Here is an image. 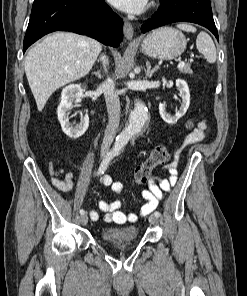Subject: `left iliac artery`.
Returning <instances> with one entry per match:
<instances>
[{"mask_svg":"<svg viewBox=\"0 0 247 296\" xmlns=\"http://www.w3.org/2000/svg\"><path fill=\"white\" fill-rule=\"evenodd\" d=\"M154 215L157 216V217H160L161 216L160 212H158V211H155L154 212Z\"/></svg>","mask_w":247,"mask_h":296,"instance_id":"44dca946","label":"left iliac artery"}]
</instances>
